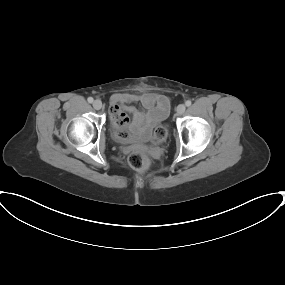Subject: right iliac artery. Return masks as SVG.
<instances>
[{
    "mask_svg": "<svg viewBox=\"0 0 285 285\" xmlns=\"http://www.w3.org/2000/svg\"><path fill=\"white\" fill-rule=\"evenodd\" d=\"M87 100H88L89 103L93 102V98L92 97H89Z\"/></svg>",
    "mask_w": 285,
    "mask_h": 285,
    "instance_id": "right-iliac-artery-1",
    "label": "right iliac artery"
}]
</instances>
